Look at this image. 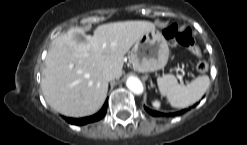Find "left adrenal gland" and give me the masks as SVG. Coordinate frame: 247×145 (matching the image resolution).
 Here are the masks:
<instances>
[{
    "label": "left adrenal gland",
    "instance_id": "1",
    "mask_svg": "<svg viewBox=\"0 0 247 145\" xmlns=\"http://www.w3.org/2000/svg\"><path fill=\"white\" fill-rule=\"evenodd\" d=\"M150 85H151L152 88L155 87V85L153 84L152 80H150Z\"/></svg>",
    "mask_w": 247,
    "mask_h": 145
}]
</instances>
